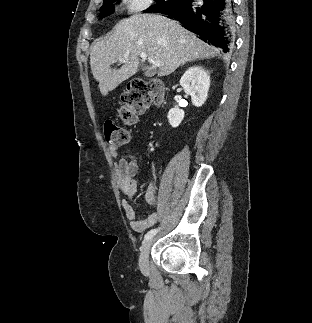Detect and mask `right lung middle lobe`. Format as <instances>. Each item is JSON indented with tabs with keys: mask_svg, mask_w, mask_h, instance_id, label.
Returning <instances> with one entry per match:
<instances>
[{
	"mask_svg": "<svg viewBox=\"0 0 312 323\" xmlns=\"http://www.w3.org/2000/svg\"><path fill=\"white\" fill-rule=\"evenodd\" d=\"M115 0H112L108 3H105L101 7V17H104L114 11V6L112 3ZM157 4L150 6L149 9L145 10V12H159L162 9L172 8L175 6L180 0H155Z\"/></svg>",
	"mask_w": 312,
	"mask_h": 323,
	"instance_id": "obj_1",
	"label": "right lung middle lobe"
}]
</instances>
